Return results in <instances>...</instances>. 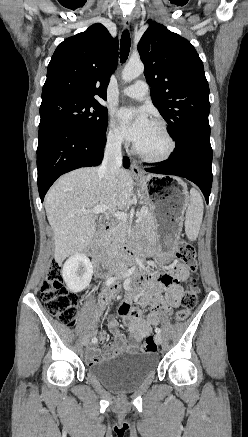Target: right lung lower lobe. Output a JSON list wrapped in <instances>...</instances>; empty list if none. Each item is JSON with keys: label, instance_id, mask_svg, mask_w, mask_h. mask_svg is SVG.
Wrapping results in <instances>:
<instances>
[{"label": "right lung lower lobe", "instance_id": "right-lung-lower-lobe-1", "mask_svg": "<svg viewBox=\"0 0 248 437\" xmlns=\"http://www.w3.org/2000/svg\"><path fill=\"white\" fill-rule=\"evenodd\" d=\"M105 144V134H87L68 125L55 124L39 128L37 182L41 201L62 174L81 167L99 165ZM129 164V159L124 157L123 166L129 168Z\"/></svg>", "mask_w": 248, "mask_h": 437}]
</instances>
